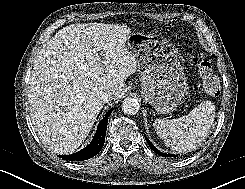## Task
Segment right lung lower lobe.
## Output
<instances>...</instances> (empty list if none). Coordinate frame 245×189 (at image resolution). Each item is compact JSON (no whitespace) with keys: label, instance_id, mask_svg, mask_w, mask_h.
<instances>
[{"label":"right lung lower lobe","instance_id":"98d812e1","mask_svg":"<svg viewBox=\"0 0 245 189\" xmlns=\"http://www.w3.org/2000/svg\"><path fill=\"white\" fill-rule=\"evenodd\" d=\"M111 112L112 109L109 110L105 114L103 119L100 121L95 136L93 137L91 143L87 147H85L84 149H82L77 153L71 155L59 156V157L69 161H83V160L90 159L94 157L96 154H98L105 142L108 117L110 116Z\"/></svg>","mask_w":245,"mask_h":189}]
</instances>
